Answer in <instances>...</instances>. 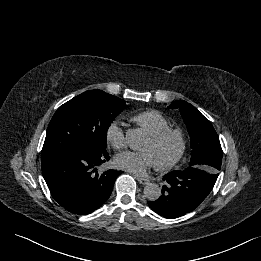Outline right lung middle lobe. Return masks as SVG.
I'll return each mask as SVG.
<instances>
[{
	"mask_svg": "<svg viewBox=\"0 0 261 261\" xmlns=\"http://www.w3.org/2000/svg\"><path fill=\"white\" fill-rule=\"evenodd\" d=\"M125 107L124 100L101 90L74 97L55 112L42 154L73 149L106 151L107 130Z\"/></svg>",
	"mask_w": 261,
	"mask_h": 261,
	"instance_id": "1",
	"label": "right lung middle lobe"
}]
</instances>
